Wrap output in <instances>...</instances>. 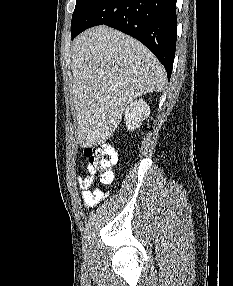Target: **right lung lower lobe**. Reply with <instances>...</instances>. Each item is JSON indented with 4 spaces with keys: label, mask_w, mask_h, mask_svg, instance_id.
<instances>
[{
    "label": "right lung lower lobe",
    "mask_w": 233,
    "mask_h": 286,
    "mask_svg": "<svg viewBox=\"0 0 233 286\" xmlns=\"http://www.w3.org/2000/svg\"><path fill=\"white\" fill-rule=\"evenodd\" d=\"M177 0H92L72 39L96 25L118 29L143 43L164 65L170 78L176 48Z\"/></svg>",
    "instance_id": "98d812e1"
}]
</instances>
